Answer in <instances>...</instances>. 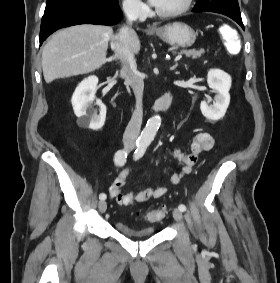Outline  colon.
Returning a JSON list of instances; mask_svg holds the SVG:
<instances>
[{"label": "colon", "instance_id": "colon-1", "mask_svg": "<svg viewBox=\"0 0 280 283\" xmlns=\"http://www.w3.org/2000/svg\"><path fill=\"white\" fill-rule=\"evenodd\" d=\"M237 25H224L219 27V33L222 34L223 37H219V42H227L226 43V51H228L229 55H240L242 47L240 46V36L241 33L238 32ZM166 213L165 208H160L156 210L149 211L145 218L147 221L155 222L161 220Z\"/></svg>", "mask_w": 280, "mask_h": 283}]
</instances>
